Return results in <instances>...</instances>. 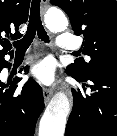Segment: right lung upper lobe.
I'll return each mask as SVG.
<instances>
[{"label": "right lung upper lobe", "mask_w": 117, "mask_h": 136, "mask_svg": "<svg viewBox=\"0 0 117 136\" xmlns=\"http://www.w3.org/2000/svg\"><path fill=\"white\" fill-rule=\"evenodd\" d=\"M29 6L30 0H0V59L12 48L9 39L21 35L17 30L28 19Z\"/></svg>", "instance_id": "cb5924a9"}]
</instances>
